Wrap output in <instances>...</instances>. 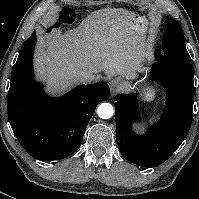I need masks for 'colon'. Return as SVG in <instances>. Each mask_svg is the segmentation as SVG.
I'll use <instances>...</instances> for the list:
<instances>
[{"label": "colon", "mask_w": 199, "mask_h": 199, "mask_svg": "<svg viewBox=\"0 0 199 199\" xmlns=\"http://www.w3.org/2000/svg\"><path fill=\"white\" fill-rule=\"evenodd\" d=\"M59 20L62 23H72L73 18H72V13L69 10H62L59 16Z\"/></svg>", "instance_id": "obj_1"}]
</instances>
